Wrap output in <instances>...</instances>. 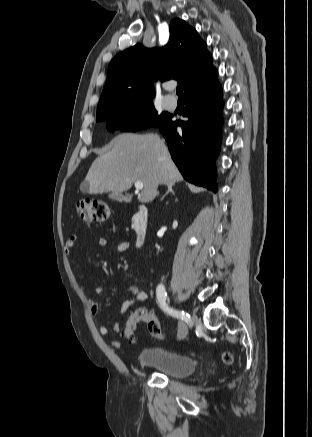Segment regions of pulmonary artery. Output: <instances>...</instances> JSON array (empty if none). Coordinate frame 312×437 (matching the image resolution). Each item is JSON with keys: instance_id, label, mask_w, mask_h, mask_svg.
Instances as JSON below:
<instances>
[{"instance_id": "1", "label": "pulmonary artery", "mask_w": 312, "mask_h": 437, "mask_svg": "<svg viewBox=\"0 0 312 437\" xmlns=\"http://www.w3.org/2000/svg\"><path fill=\"white\" fill-rule=\"evenodd\" d=\"M168 89V88H167ZM164 105L169 110H174L177 106V101L174 97L166 96L164 98Z\"/></svg>"}]
</instances>
